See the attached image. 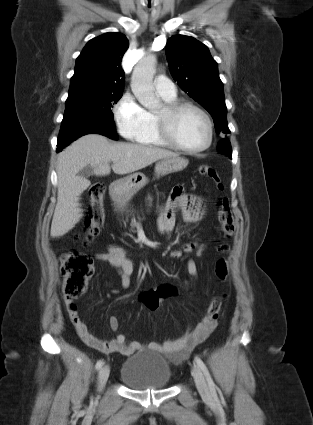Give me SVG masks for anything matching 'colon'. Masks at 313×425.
<instances>
[{"label": "colon", "instance_id": "1", "mask_svg": "<svg viewBox=\"0 0 313 425\" xmlns=\"http://www.w3.org/2000/svg\"><path fill=\"white\" fill-rule=\"evenodd\" d=\"M198 172L211 179L218 190H223L224 185L217 171L208 165H202ZM106 186L102 182H96L89 189L91 199L90 214L86 221L84 240L86 242L94 239L104 222L105 212L103 208V196ZM216 212L220 227V233L224 238H230L235 233V223L229 208V201L226 197H220L216 202ZM217 252L226 254L229 251V245L221 242L216 247ZM205 251L200 249L198 256L204 255ZM61 273L63 276V294L66 299L73 300L81 296L87 286L89 278L93 274V259L90 255L78 251H66L60 256ZM214 273L216 278L225 282L229 274V265L226 258H220L215 262ZM177 294V289L171 284H163L156 288L144 291L139 296V301L150 311L158 308L159 303L168 297ZM221 297H214L207 310V315L212 321H217L219 309L221 306Z\"/></svg>", "mask_w": 313, "mask_h": 425}]
</instances>
